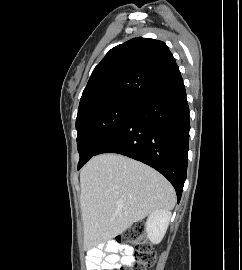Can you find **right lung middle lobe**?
<instances>
[{"mask_svg":"<svg viewBox=\"0 0 242 270\" xmlns=\"http://www.w3.org/2000/svg\"><path fill=\"white\" fill-rule=\"evenodd\" d=\"M136 102L117 100L90 108L76 119L79 163L88 161L118 129Z\"/></svg>","mask_w":242,"mask_h":270,"instance_id":"right-lung-middle-lobe-1","label":"right lung middle lobe"}]
</instances>
